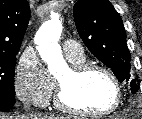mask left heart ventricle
<instances>
[{
    "instance_id": "obj_1",
    "label": "left heart ventricle",
    "mask_w": 142,
    "mask_h": 119,
    "mask_svg": "<svg viewBox=\"0 0 142 119\" xmlns=\"http://www.w3.org/2000/svg\"><path fill=\"white\" fill-rule=\"evenodd\" d=\"M57 79L65 83L68 100L83 110L89 112L104 111L114 102L113 84L101 72L93 71L73 80L69 75V70H66Z\"/></svg>"
}]
</instances>
